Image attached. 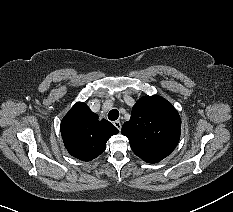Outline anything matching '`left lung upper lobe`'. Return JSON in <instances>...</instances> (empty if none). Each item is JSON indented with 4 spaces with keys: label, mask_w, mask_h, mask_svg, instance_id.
I'll return each mask as SVG.
<instances>
[{
    "label": "left lung upper lobe",
    "mask_w": 233,
    "mask_h": 212,
    "mask_svg": "<svg viewBox=\"0 0 233 212\" xmlns=\"http://www.w3.org/2000/svg\"><path fill=\"white\" fill-rule=\"evenodd\" d=\"M180 131L177 110L156 95L140 98L121 130L133 152L147 163H157L168 156L178 144Z\"/></svg>",
    "instance_id": "5c2ea615"
}]
</instances>
